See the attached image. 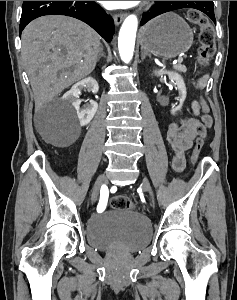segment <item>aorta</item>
<instances>
[{
	"instance_id": "762f6f07",
	"label": "aorta",
	"mask_w": 237,
	"mask_h": 300,
	"mask_svg": "<svg viewBox=\"0 0 237 300\" xmlns=\"http://www.w3.org/2000/svg\"><path fill=\"white\" fill-rule=\"evenodd\" d=\"M138 27V19L136 15L126 17L118 37V49L120 59L124 63H130L135 47V39Z\"/></svg>"
}]
</instances>
